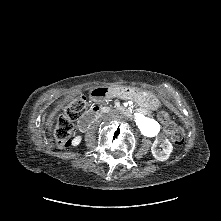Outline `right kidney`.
I'll return each mask as SVG.
<instances>
[{"label": "right kidney", "instance_id": "obj_1", "mask_svg": "<svg viewBox=\"0 0 221 221\" xmlns=\"http://www.w3.org/2000/svg\"><path fill=\"white\" fill-rule=\"evenodd\" d=\"M82 137L81 136H76L73 140H72V146L76 147L81 143Z\"/></svg>", "mask_w": 221, "mask_h": 221}]
</instances>
